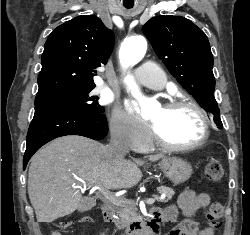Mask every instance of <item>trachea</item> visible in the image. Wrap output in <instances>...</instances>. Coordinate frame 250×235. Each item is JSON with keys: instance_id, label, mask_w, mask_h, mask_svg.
<instances>
[{"instance_id": "1", "label": "trachea", "mask_w": 250, "mask_h": 235, "mask_svg": "<svg viewBox=\"0 0 250 235\" xmlns=\"http://www.w3.org/2000/svg\"><path fill=\"white\" fill-rule=\"evenodd\" d=\"M124 7H125L127 10H129V9H131V8L133 7V5H132V6L124 5Z\"/></svg>"}]
</instances>
